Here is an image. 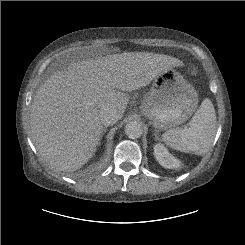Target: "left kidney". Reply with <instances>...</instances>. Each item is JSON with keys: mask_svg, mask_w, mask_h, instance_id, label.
<instances>
[{"mask_svg": "<svg viewBox=\"0 0 245 245\" xmlns=\"http://www.w3.org/2000/svg\"><path fill=\"white\" fill-rule=\"evenodd\" d=\"M154 155L161 166L168 169L178 168L180 161L172 156L164 145L158 143L154 146Z\"/></svg>", "mask_w": 245, "mask_h": 245, "instance_id": "left-kidney-1", "label": "left kidney"}]
</instances>
